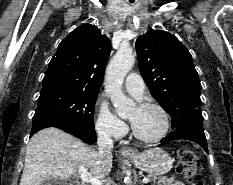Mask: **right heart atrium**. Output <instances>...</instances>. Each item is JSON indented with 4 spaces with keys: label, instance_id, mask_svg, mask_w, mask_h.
I'll return each instance as SVG.
<instances>
[{
    "label": "right heart atrium",
    "instance_id": "d8ad5b80",
    "mask_svg": "<svg viewBox=\"0 0 233 185\" xmlns=\"http://www.w3.org/2000/svg\"><path fill=\"white\" fill-rule=\"evenodd\" d=\"M95 130L100 136L118 140L125 136L128 128L106 103L98 102L95 108Z\"/></svg>",
    "mask_w": 233,
    "mask_h": 185
}]
</instances>
